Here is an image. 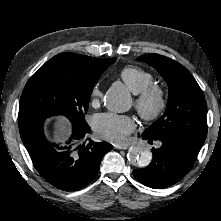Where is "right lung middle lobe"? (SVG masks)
Wrapping results in <instances>:
<instances>
[{
  "mask_svg": "<svg viewBox=\"0 0 221 221\" xmlns=\"http://www.w3.org/2000/svg\"><path fill=\"white\" fill-rule=\"evenodd\" d=\"M116 58L105 59L95 73L77 78L58 73L51 66H42L28 80L20 98L18 124L44 121L47 117L62 114L73 125L83 126L94 83Z\"/></svg>",
  "mask_w": 221,
  "mask_h": 221,
  "instance_id": "1",
  "label": "right lung middle lobe"
}]
</instances>
